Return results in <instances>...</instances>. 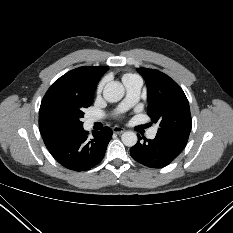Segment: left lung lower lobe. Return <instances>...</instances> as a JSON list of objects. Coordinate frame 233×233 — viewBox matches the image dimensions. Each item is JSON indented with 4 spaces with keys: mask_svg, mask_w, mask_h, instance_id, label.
<instances>
[{
    "mask_svg": "<svg viewBox=\"0 0 233 233\" xmlns=\"http://www.w3.org/2000/svg\"><path fill=\"white\" fill-rule=\"evenodd\" d=\"M130 148V154L134 160L151 168H163L170 164L184 149L186 143L171 140L156 135L153 140L142 139Z\"/></svg>",
    "mask_w": 233,
    "mask_h": 233,
    "instance_id": "0a47b994",
    "label": "left lung lower lobe"
}]
</instances>
